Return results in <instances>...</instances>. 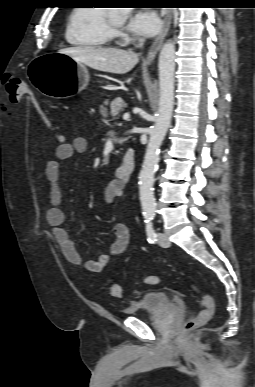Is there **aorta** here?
Segmentation results:
<instances>
[{
  "mask_svg": "<svg viewBox=\"0 0 255 387\" xmlns=\"http://www.w3.org/2000/svg\"><path fill=\"white\" fill-rule=\"evenodd\" d=\"M130 8H114L112 14L126 18ZM159 71V107L155 124L150 132L143 167L139 175V196L143 214L152 217L156 210L154 196V175L158 167L160 146L170 127L174 107L175 44L167 41L163 44L158 60Z\"/></svg>",
  "mask_w": 255,
  "mask_h": 387,
  "instance_id": "1",
  "label": "aorta"
}]
</instances>
